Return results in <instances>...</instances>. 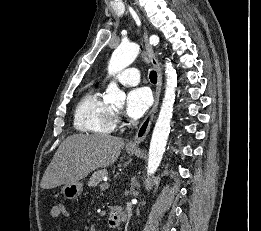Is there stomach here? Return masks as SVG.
I'll list each match as a JSON object with an SVG mask.
<instances>
[{
  "label": "stomach",
  "mask_w": 261,
  "mask_h": 231,
  "mask_svg": "<svg viewBox=\"0 0 261 231\" xmlns=\"http://www.w3.org/2000/svg\"><path fill=\"white\" fill-rule=\"evenodd\" d=\"M128 154H134L136 149H128ZM83 190V184L80 181H76L74 183H67L62 188V194L65 198L69 200L76 199L78 196L81 195Z\"/></svg>",
  "instance_id": "stomach-1"
}]
</instances>
